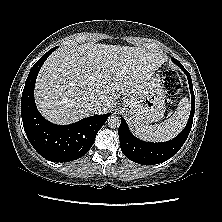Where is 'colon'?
Listing matches in <instances>:
<instances>
[{
	"label": "colon",
	"mask_w": 222,
	"mask_h": 222,
	"mask_svg": "<svg viewBox=\"0 0 222 222\" xmlns=\"http://www.w3.org/2000/svg\"><path fill=\"white\" fill-rule=\"evenodd\" d=\"M163 86L170 96L177 95L182 90V80L174 70H167L163 75Z\"/></svg>",
	"instance_id": "1"
}]
</instances>
